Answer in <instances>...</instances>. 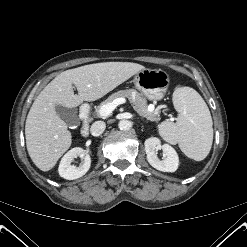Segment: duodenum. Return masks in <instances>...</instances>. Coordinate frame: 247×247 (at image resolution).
I'll list each match as a JSON object with an SVG mask.
<instances>
[{
  "label": "duodenum",
  "mask_w": 247,
  "mask_h": 247,
  "mask_svg": "<svg viewBox=\"0 0 247 247\" xmlns=\"http://www.w3.org/2000/svg\"><path fill=\"white\" fill-rule=\"evenodd\" d=\"M81 134L88 136L90 127V107L85 104L80 108Z\"/></svg>",
  "instance_id": "duodenum-1"
}]
</instances>
